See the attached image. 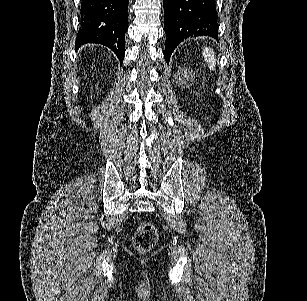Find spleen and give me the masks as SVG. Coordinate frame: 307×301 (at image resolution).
<instances>
[{
	"mask_svg": "<svg viewBox=\"0 0 307 301\" xmlns=\"http://www.w3.org/2000/svg\"><path fill=\"white\" fill-rule=\"evenodd\" d=\"M202 54L209 68H211V70H215L216 58H215V52L213 48H210V46H203Z\"/></svg>",
	"mask_w": 307,
	"mask_h": 301,
	"instance_id": "3e777b00",
	"label": "spleen"
}]
</instances>
